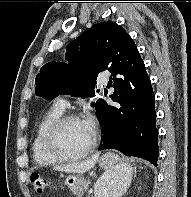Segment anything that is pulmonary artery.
<instances>
[{
  "label": "pulmonary artery",
  "instance_id": "pulmonary-artery-1",
  "mask_svg": "<svg viewBox=\"0 0 191 197\" xmlns=\"http://www.w3.org/2000/svg\"><path fill=\"white\" fill-rule=\"evenodd\" d=\"M106 83L107 81L105 79L100 80V84L105 85ZM56 106L64 110L68 106V102L63 98H59L56 101Z\"/></svg>",
  "mask_w": 191,
  "mask_h": 197
}]
</instances>
